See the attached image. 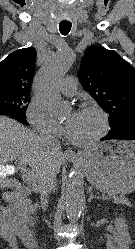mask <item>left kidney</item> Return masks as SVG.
<instances>
[{
  "mask_svg": "<svg viewBox=\"0 0 135 249\" xmlns=\"http://www.w3.org/2000/svg\"><path fill=\"white\" fill-rule=\"evenodd\" d=\"M114 225L113 237L109 238L106 243L107 249H129L131 238L126 220L118 217L115 219Z\"/></svg>",
  "mask_w": 135,
  "mask_h": 249,
  "instance_id": "5707ae66",
  "label": "left kidney"
}]
</instances>
